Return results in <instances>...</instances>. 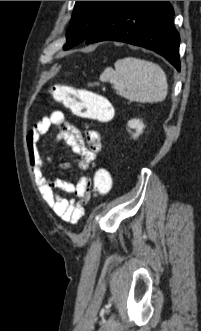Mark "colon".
<instances>
[{
    "instance_id": "colon-1",
    "label": "colon",
    "mask_w": 201,
    "mask_h": 331,
    "mask_svg": "<svg viewBox=\"0 0 201 331\" xmlns=\"http://www.w3.org/2000/svg\"><path fill=\"white\" fill-rule=\"evenodd\" d=\"M51 96L75 115L96 122H107L112 119L113 108L102 95L87 89H76L69 85L57 84L50 88ZM112 188V176L105 168H99L94 175L89 189V198L105 196Z\"/></svg>"
}]
</instances>
